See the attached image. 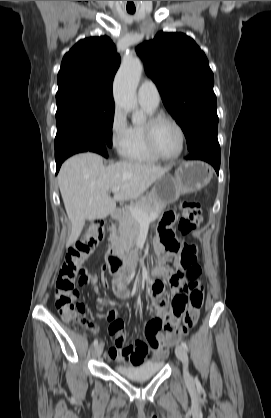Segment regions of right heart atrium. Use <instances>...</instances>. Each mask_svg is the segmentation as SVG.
Masks as SVG:
<instances>
[{
	"instance_id": "obj_1",
	"label": "right heart atrium",
	"mask_w": 271,
	"mask_h": 418,
	"mask_svg": "<svg viewBox=\"0 0 271 418\" xmlns=\"http://www.w3.org/2000/svg\"><path fill=\"white\" fill-rule=\"evenodd\" d=\"M128 125L123 111L116 107L110 122V139L112 146L118 151L124 147L127 137Z\"/></svg>"
}]
</instances>
